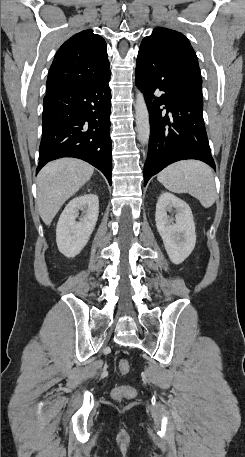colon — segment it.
Returning <instances> with one entry per match:
<instances>
[{"instance_id": "obj_1", "label": "colon", "mask_w": 245, "mask_h": 457, "mask_svg": "<svg viewBox=\"0 0 245 457\" xmlns=\"http://www.w3.org/2000/svg\"><path fill=\"white\" fill-rule=\"evenodd\" d=\"M129 362L126 359H121L118 363V369L121 375H126L129 372ZM135 390L129 386H117L112 391V396L116 400H122L134 395Z\"/></svg>"}]
</instances>
